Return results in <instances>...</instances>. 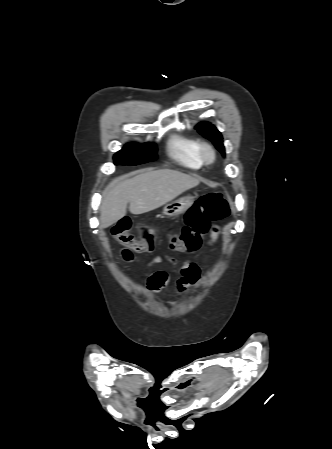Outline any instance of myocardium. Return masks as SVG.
<instances>
[{"label": "myocardium", "instance_id": "obj_1", "mask_svg": "<svg viewBox=\"0 0 332 449\" xmlns=\"http://www.w3.org/2000/svg\"><path fill=\"white\" fill-rule=\"evenodd\" d=\"M198 155L202 163L210 164L215 160L216 153L213 146L207 142H199Z\"/></svg>", "mask_w": 332, "mask_h": 449}]
</instances>
